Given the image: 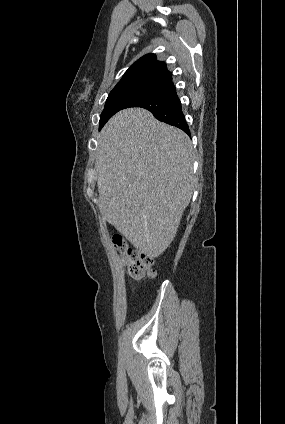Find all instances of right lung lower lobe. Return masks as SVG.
Here are the masks:
<instances>
[{
	"instance_id": "right-lung-lower-lobe-1",
	"label": "right lung lower lobe",
	"mask_w": 285,
	"mask_h": 424,
	"mask_svg": "<svg viewBox=\"0 0 285 424\" xmlns=\"http://www.w3.org/2000/svg\"><path fill=\"white\" fill-rule=\"evenodd\" d=\"M130 107L147 109L156 119L178 127L190 135L189 127L182 112L181 102L172 82L150 95L132 101L126 108Z\"/></svg>"
}]
</instances>
